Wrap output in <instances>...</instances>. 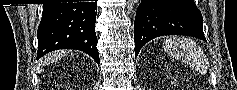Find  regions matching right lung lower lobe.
Masks as SVG:
<instances>
[{
    "mask_svg": "<svg viewBox=\"0 0 237 90\" xmlns=\"http://www.w3.org/2000/svg\"><path fill=\"white\" fill-rule=\"evenodd\" d=\"M96 2L43 4L37 31V59L57 49H77L100 63L95 21Z\"/></svg>",
    "mask_w": 237,
    "mask_h": 90,
    "instance_id": "98d812e1",
    "label": "right lung lower lobe"
}]
</instances>
